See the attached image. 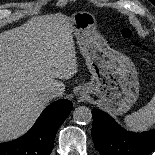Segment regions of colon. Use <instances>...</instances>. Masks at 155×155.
Segmentation results:
<instances>
[{
	"instance_id": "5ec220e1",
	"label": "colon",
	"mask_w": 155,
	"mask_h": 155,
	"mask_svg": "<svg viewBox=\"0 0 155 155\" xmlns=\"http://www.w3.org/2000/svg\"><path fill=\"white\" fill-rule=\"evenodd\" d=\"M121 23H122L121 34H122L123 38H125L127 40H132V43L136 48H139L142 51H147L148 48L146 45H144L141 41L134 39V33H133L132 29H130L129 27H126L124 25L123 19H121Z\"/></svg>"
}]
</instances>
